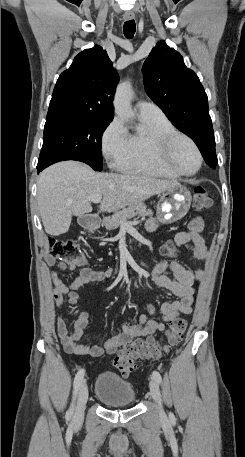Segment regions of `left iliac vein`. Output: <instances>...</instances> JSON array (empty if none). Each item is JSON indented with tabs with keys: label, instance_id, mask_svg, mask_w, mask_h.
Returning <instances> with one entry per match:
<instances>
[{
	"label": "left iliac vein",
	"instance_id": "left-iliac-vein-1",
	"mask_svg": "<svg viewBox=\"0 0 245 457\" xmlns=\"http://www.w3.org/2000/svg\"><path fill=\"white\" fill-rule=\"evenodd\" d=\"M150 391H151V396H152L153 400L156 402V404L158 406L160 418H165V413H164V410L162 408V403H161V394H160L159 385L154 378H152L151 382H150Z\"/></svg>",
	"mask_w": 245,
	"mask_h": 457
}]
</instances>
